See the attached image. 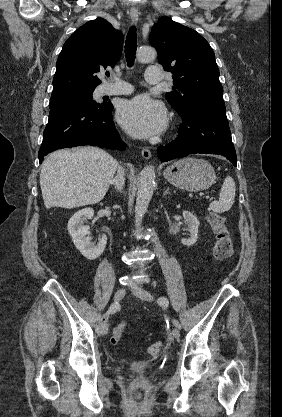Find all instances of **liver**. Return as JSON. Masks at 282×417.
Listing matches in <instances>:
<instances>
[{
    "mask_svg": "<svg viewBox=\"0 0 282 417\" xmlns=\"http://www.w3.org/2000/svg\"><path fill=\"white\" fill-rule=\"evenodd\" d=\"M118 162L102 148L82 146L75 152L55 150L43 162L40 186L46 209L95 204L104 198Z\"/></svg>",
    "mask_w": 282,
    "mask_h": 417,
    "instance_id": "1",
    "label": "liver"
}]
</instances>
